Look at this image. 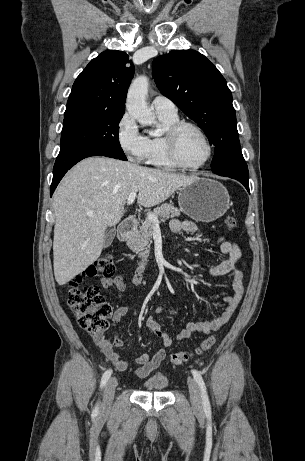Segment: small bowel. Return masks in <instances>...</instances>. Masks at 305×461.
Segmentation results:
<instances>
[{"mask_svg": "<svg viewBox=\"0 0 305 461\" xmlns=\"http://www.w3.org/2000/svg\"><path fill=\"white\" fill-rule=\"evenodd\" d=\"M170 227L173 233H194L197 230L195 223L189 220L173 219ZM218 245L223 257L216 265L208 266L207 271L208 274L213 277L230 274L232 293L224 298L226 306L218 316L205 321L189 322L185 328L179 329L176 333V338L179 340L187 339L195 333L209 334L218 330L230 320L241 302L244 294L243 272L236 266L237 262L242 257L240 247L238 244L227 241L223 237L219 238ZM142 276L143 269L139 268L133 275V282L139 283ZM101 286L104 289L114 286L119 292H124L127 287L123 277L119 275L103 278L101 280ZM163 310V306H159L156 312L160 313ZM128 314L129 309L127 307H118L112 316V325H117ZM146 325L147 328L159 338L162 347L152 357L147 353H143L135 359L137 367L134 372L140 378L148 377L152 371L159 367L166 357V348L173 344L172 338L162 330L153 316L147 318ZM94 341L107 360L117 370L126 371L130 369V364L114 350V347H122L124 344L120 337L115 335L113 341H110L103 334H99L94 336Z\"/></svg>", "mask_w": 305, "mask_h": 461, "instance_id": "small-bowel-1", "label": "small bowel"}]
</instances>
